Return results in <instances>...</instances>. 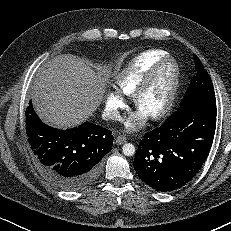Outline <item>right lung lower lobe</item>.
<instances>
[{"instance_id": "obj_1", "label": "right lung lower lobe", "mask_w": 231, "mask_h": 231, "mask_svg": "<svg viewBox=\"0 0 231 231\" xmlns=\"http://www.w3.org/2000/svg\"><path fill=\"white\" fill-rule=\"evenodd\" d=\"M26 133L37 164L45 178L64 191H78L100 175L103 157L112 149V132L84 122L59 130L44 124L32 103L25 112Z\"/></svg>"}]
</instances>
